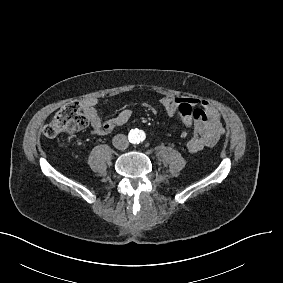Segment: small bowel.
Wrapping results in <instances>:
<instances>
[{
  "instance_id": "obj_1",
  "label": "small bowel",
  "mask_w": 283,
  "mask_h": 283,
  "mask_svg": "<svg viewBox=\"0 0 283 283\" xmlns=\"http://www.w3.org/2000/svg\"><path fill=\"white\" fill-rule=\"evenodd\" d=\"M184 101L194 104L196 108L194 118L199 125L195 137L187 142L186 149L190 153H199L205 148L214 146L225 133V127L218 110L204 99L192 96L166 95L160 100V103L169 114ZM97 104L98 99L95 97H87L80 102V108L89 118L92 132L96 135H105L114 128L126 124L132 117L130 109H123L112 118L102 119L96 109Z\"/></svg>"
}]
</instances>
